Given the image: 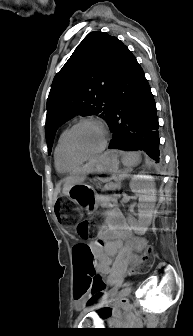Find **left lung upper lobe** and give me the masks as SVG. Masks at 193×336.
<instances>
[{
	"mask_svg": "<svg viewBox=\"0 0 193 336\" xmlns=\"http://www.w3.org/2000/svg\"><path fill=\"white\" fill-rule=\"evenodd\" d=\"M127 47L105 32L89 33L54 77L47 100L46 140L51 153L57 129L76 115L107 122L111 97Z\"/></svg>",
	"mask_w": 193,
	"mask_h": 336,
	"instance_id": "obj_1",
	"label": "left lung upper lobe"
}]
</instances>
